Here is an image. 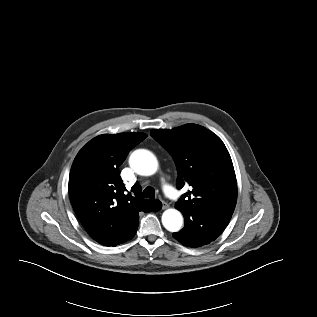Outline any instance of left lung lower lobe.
<instances>
[{
    "mask_svg": "<svg viewBox=\"0 0 317 317\" xmlns=\"http://www.w3.org/2000/svg\"><path fill=\"white\" fill-rule=\"evenodd\" d=\"M182 214L185 226L181 231L173 233V237L188 247H201L214 241L232 216L212 209H200Z\"/></svg>",
    "mask_w": 317,
    "mask_h": 317,
    "instance_id": "0a47b994",
    "label": "left lung lower lobe"
}]
</instances>
